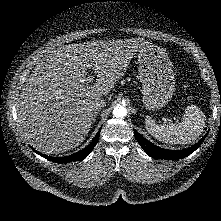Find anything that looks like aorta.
Instances as JSON below:
<instances>
[{
  "instance_id": "obj_1",
  "label": "aorta",
  "mask_w": 221,
  "mask_h": 221,
  "mask_svg": "<svg viewBox=\"0 0 221 221\" xmlns=\"http://www.w3.org/2000/svg\"><path fill=\"white\" fill-rule=\"evenodd\" d=\"M113 115L116 118H124L127 115V109L124 105H116L113 109Z\"/></svg>"
}]
</instances>
